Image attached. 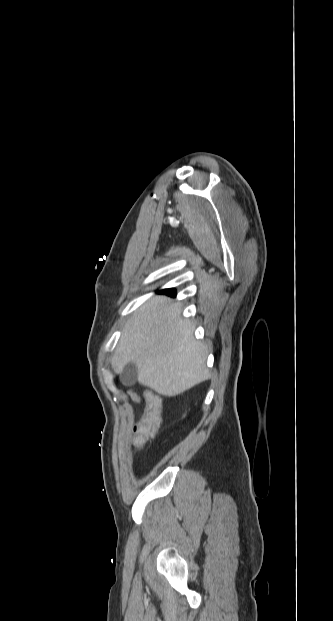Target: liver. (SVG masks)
Listing matches in <instances>:
<instances>
[{
  "label": "liver",
  "instance_id": "6515ba94",
  "mask_svg": "<svg viewBox=\"0 0 333 621\" xmlns=\"http://www.w3.org/2000/svg\"><path fill=\"white\" fill-rule=\"evenodd\" d=\"M181 312V304L167 296H155L137 309L116 348V371L132 362L141 385L168 397L206 380L208 348L194 339V327Z\"/></svg>",
  "mask_w": 333,
  "mask_h": 621
}]
</instances>
